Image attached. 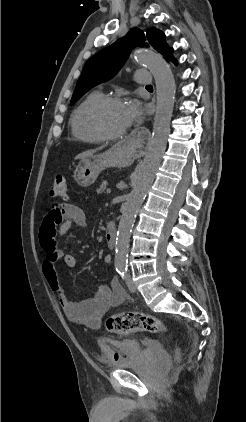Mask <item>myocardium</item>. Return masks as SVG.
I'll use <instances>...</instances> for the list:
<instances>
[{
  "label": "myocardium",
  "instance_id": "obj_1",
  "mask_svg": "<svg viewBox=\"0 0 246 422\" xmlns=\"http://www.w3.org/2000/svg\"><path fill=\"white\" fill-rule=\"evenodd\" d=\"M114 104H123L122 100L116 96H104L99 100L90 111V121L93 128L104 140H118L123 138L128 130L121 132H111L108 130L103 121V113L107 107Z\"/></svg>",
  "mask_w": 246,
  "mask_h": 422
}]
</instances>
